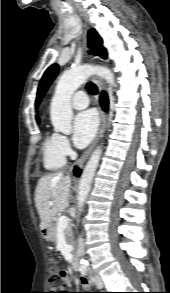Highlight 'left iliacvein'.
Instances as JSON below:
<instances>
[{
	"instance_id": "left-iliac-vein-1",
	"label": "left iliac vein",
	"mask_w": 170,
	"mask_h": 293,
	"mask_svg": "<svg viewBox=\"0 0 170 293\" xmlns=\"http://www.w3.org/2000/svg\"><path fill=\"white\" fill-rule=\"evenodd\" d=\"M95 280H96V286L98 288H102L104 286L103 280H102L100 275L96 274L95 275Z\"/></svg>"
}]
</instances>
